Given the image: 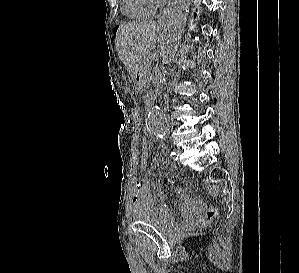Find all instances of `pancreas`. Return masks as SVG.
<instances>
[{"instance_id":"pancreas-1","label":"pancreas","mask_w":299,"mask_h":273,"mask_svg":"<svg viewBox=\"0 0 299 273\" xmlns=\"http://www.w3.org/2000/svg\"><path fill=\"white\" fill-rule=\"evenodd\" d=\"M140 72L142 75V78L145 82L149 81L150 74H151V63L149 60L145 59L140 66Z\"/></svg>"}]
</instances>
